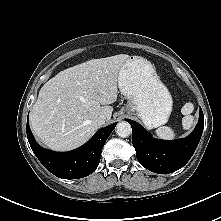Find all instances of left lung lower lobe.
Returning <instances> with one entry per match:
<instances>
[{"label":"left lung lower lobe","instance_id":"left-lung-lower-lobe-1","mask_svg":"<svg viewBox=\"0 0 221 221\" xmlns=\"http://www.w3.org/2000/svg\"><path fill=\"white\" fill-rule=\"evenodd\" d=\"M132 127V143L139 163L148 170L167 174L186 165L195 152L204 127V116L200 109L199 121L193 132L184 139L172 141L154 138L137 122L127 119Z\"/></svg>","mask_w":221,"mask_h":221}]
</instances>
